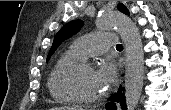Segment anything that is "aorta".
<instances>
[{
  "label": "aorta",
  "mask_w": 171,
  "mask_h": 110,
  "mask_svg": "<svg viewBox=\"0 0 171 110\" xmlns=\"http://www.w3.org/2000/svg\"><path fill=\"white\" fill-rule=\"evenodd\" d=\"M101 30L115 29L125 45V101L128 110H135L143 87L144 51L136 24L126 15L113 12L101 15L97 20Z\"/></svg>",
  "instance_id": "aorta-1"
}]
</instances>
